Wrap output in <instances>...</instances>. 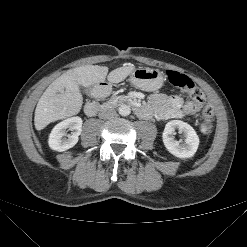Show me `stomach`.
<instances>
[{
    "label": "stomach",
    "mask_w": 247,
    "mask_h": 247,
    "mask_svg": "<svg viewBox=\"0 0 247 247\" xmlns=\"http://www.w3.org/2000/svg\"><path fill=\"white\" fill-rule=\"evenodd\" d=\"M163 81V73L157 69L139 67L130 74L132 85L146 91L159 89Z\"/></svg>",
    "instance_id": "stomach-1"
}]
</instances>
